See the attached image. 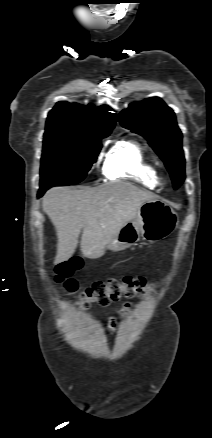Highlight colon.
<instances>
[{"label":"colon","mask_w":212,"mask_h":438,"mask_svg":"<svg viewBox=\"0 0 212 438\" xmlns=\"http://www.w3.org/2000/svg\"><path fill=\"white\" fill-rule=\"evenodd\" d=\"M82 267L79 258L65 261L55 267V281L64 285L69 293L77 290L75 280L71 278L74 271ZM151 286L142 277L126 276L120 279H110L93 283L79 295V304L88 308L92 303L106 306L118 301L121 297L132 298L148 292Z\"/></svg>","instance_id":"1"}]
</instances>
